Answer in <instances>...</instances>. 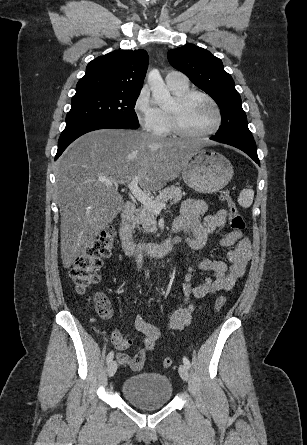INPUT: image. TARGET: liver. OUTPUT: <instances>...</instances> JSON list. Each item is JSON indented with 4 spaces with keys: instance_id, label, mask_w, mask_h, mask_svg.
<instances>
[{
    "instance_id": "6515ba94",
    "label": "liver",
    "mask_w": 307,
    "mask_h": 445,
    "mask_svg": "<svg viewBox=\"0 0 307 445\" xmlns=\"http://www.w3.org/2000/svg\"><path fill=\"white\" fill-rule=\"evenodd\" d=\"M197 148L195 140L123 128L92 130L74 140L56 170L64 269L92 247L95 237L122 210L118 184L142 174L139 184L144 190H159L179 176Z\"/></svg>"
}]
</instances>
